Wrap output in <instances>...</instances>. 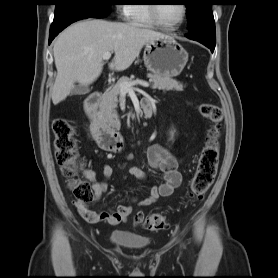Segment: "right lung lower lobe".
I'll return each instance as SVG.
<instances>
[{"label": "right lung lower lobe", "mask_w": 278, "mask_h": 278, "mask_svg": "<svg viewBox=\"0 0 278 278\" xmlns=\"http://www.w3.org/2000/svg\"><path fill=\"white\" fill-rule=\"evenodd\" d=\"M89 17L90 16H83V15L72 16V17H68V18L62 20L61 22H59L56 25H51L49 43H51V41L58 35L59 32H61L63 29H65L71 23L76 22L81 19H86Z\"/></svg>", "instance_id": "right-lung-lower-lobe-1"}]
</instances>
